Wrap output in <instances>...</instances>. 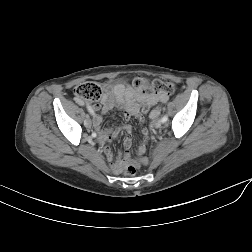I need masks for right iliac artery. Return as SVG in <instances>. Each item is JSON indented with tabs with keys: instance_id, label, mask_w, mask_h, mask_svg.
Segmentation results:
<instances>
[{
	"instance_id": "82829eb1",
	"label": "right iliac artery",
	"mask_w": 252,
	"mask_h": 252,
	"mask_svg": "<svg viewBox=\"0 0 252 252\" xmlns=\"http://www.w3.org/2000/svg\"><path fill=\"white\" fill-rule=\"evenodd\" d=\"M87 109L89 110V112L94 115V111L91 109V107L89 105H87ZM91 135L93 138H96L97 137V133L95 131H92L91 132Z\"/></svg>"
}]
</instances>
